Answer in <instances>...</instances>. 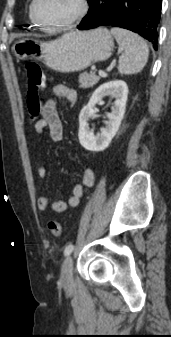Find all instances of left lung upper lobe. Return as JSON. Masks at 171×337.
Instances as JSON below:
<instances>
[{"mask_svg":"<svg viewBox=\"0 0 171 337\" xmlns=\"http://www.w3.org/2000/svg\"><path fill=\"white\" fill-rule=\"evenodd\" d=\"M93 0H88V3L90 4Z\"/></svg>","mask_w":171,"mask_h":337,"instance_id":"left-lung-upper-lobe-1","label":"left lung upper lobe"}]
</instances>
